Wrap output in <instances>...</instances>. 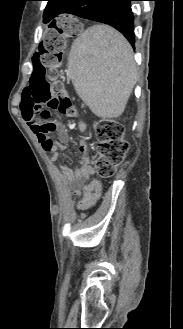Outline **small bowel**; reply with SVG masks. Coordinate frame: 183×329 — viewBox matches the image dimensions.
Masks as SVG:
<instances>
[{
	"label": "small bowel",
	"instance_id": "obj_1",
	"mask_svg": "<svg viewBox=\"0 0 183 329\" xmlns=\"http://www.w3.org/2000/svg\"><path fill=\"white\" fill-rule=\"evenodd\" d=\"M22 118L37 138L43 150L51 153V160L56 161L62 151L66 148L67 131L65 129H61L59 133V140L54 142L51 139L52 146L49 149H45L43 146L44 137L39 132L41 121L31 114H22ZM46 136L50 138L49 135ZM85 147L86 144L83 143L80 148L81 151H83ZM93 173L94 170L90 164V158L85 155H81L79 157L78 167L76 169L66 167L62 170V175L75 184V192L79 197L77 207L81 210H87L93 207L101 195L102 185L97 179L91 178Z\"/></svg>",
	"mask_w": 183,
	"mask_h": 329
}]
</instances>
